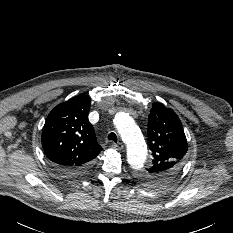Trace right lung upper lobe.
<instances>
[{"instance_id":"1","label":"right lung upper lobe","mask_w":233,"mask_h":233,"mask_svg":"<svg viewBox=\"0 0 233 233\" xmlns=\"http://www.w3.org/2000/svg\"><path fill=\"white\" fill-rule=\"evenodd\" d=\"M89 110V96L77 95L57 105L43 127L42 146L47 158L66 172L84 170L102 150L88 120Z\"/></svg>"}]
</instances>
